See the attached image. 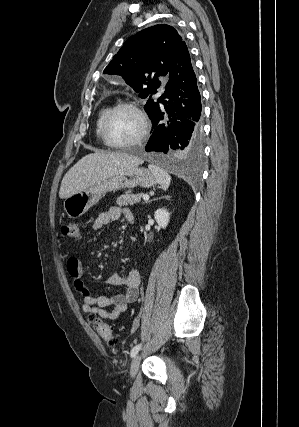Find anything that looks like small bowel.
Masks as SVG:
<instances>
[{"label":"small bowel","mask_w":299,"mask_h":427,"mask_svg":"<svg viewBox=\"0 0 299 427\" xmlns=\"http://www.w3.org/2000/svg\"><path fill=\"white\" fill-rule=\"evenodd\" d=\"M121 216L129 221L133 214L127 208L113 206L95 219L93 230H100L109 223L119 220ZM67 272L74 281L76 289L82 293V310L89 314L91 318L100 317L116 320L127 310L129 304L136 301L138 297L141 281L138 270H130L125 275L111 274L108 277V283L113 286H124L125 288L123 293L111 296H94L84 287L82 282L84 267L82 261L77 257L68 259ZM107 307H112V309L107 310Z\"/></svg>","instance_id":"c3829d8e"}]
</instances>
